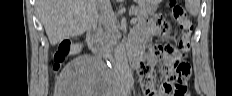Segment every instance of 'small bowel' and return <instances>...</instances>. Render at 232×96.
I'll use <instances>...</instances> for the list:
<instances>
[{
    "label": "small bowel",
    "instance_id": "1",
    "mask_svg": "<svg viewBox=\"0 0 232 96\" xmlns=\"http://www.w3.org/2000/svg\"><path fill=\"white\" fill-rule=\"evenodd\" d=\"M165 15V11H156L155 15H152V19L142 21L135 30H128V35H132L129 42L135 46H141L144 43H159V39H167V35H175L180 27L174 22H169V19H165ZM153 35H158V38H150ZM163 57L169 61V58L160 49H155L144 56L142 60L139 77L145 96H175L173 86L167 81L162 83L157 91L154 89L152 69L156 62ZM187 77H181L186 84L185 90H187Z\"/></svg>",
    "mask_w": 232,
    "mask_h": 96
}]
</instances>
